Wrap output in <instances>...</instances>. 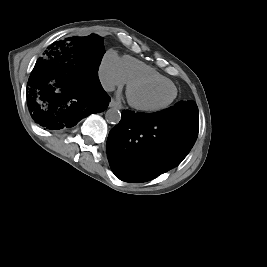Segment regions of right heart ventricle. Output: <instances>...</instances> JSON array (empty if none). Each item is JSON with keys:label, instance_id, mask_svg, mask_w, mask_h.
Here are the masks:
<instances>
[{"label": "right heart ventricle", "instance_id": "right-heart-ventricle-1", "mask_svg": "<svg viewBox=\"0 0 267 267\" xmlns=\"http://www.w3.org/2000/svg\"><path fill=\"white\" fill-rule=\"evenodd\" d=\"M121 67L126 82L140 78H152L167 82L170 81L168 78H166L164 75L159 73L151 66L139 60H136L130 56L122 57Z\"/></svg>", "mask_w": 267, "mask_h": 267}]
</instances>
